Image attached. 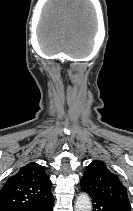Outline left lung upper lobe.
<instances>
[{"label": "left lung upper lobe", "instance_id": "5c2ea615", "mask_svg": "<svg viewBox=\"0 0 133 211\" xmlns=\"http://www.w3.org/2000/svg\"><path fill=\"white\" fill-rule=\"evenodd\" d=\"M81 189L90 196L114 202L130 208L127 191L118 176L102 161H93L87 166L81 179Z\"/></svg>", "mask_w": 133, "mask_h": 211}]
</instances>
